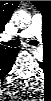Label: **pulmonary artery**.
<instances>
[{
    "label": "pulmonary artery",
    "instance_id": "pulmonary-artery-1",
    "mask_svg": "<svg viewBox=\"0 0 51 101\" xmlns=\"http://www.w3.org/2000/svg\"><path fill=\"white\" fill-rule=\"evenodd\" d=\"M34 30H35V33H36V27H35ZM32 32H33V29L31 28V29H28V32H27V33L30 34V33H32ZM9 38H10V37H9Z\"/></svg>",
    "mask_w": 51,
    "mask_h": 101
}]
</instances>
